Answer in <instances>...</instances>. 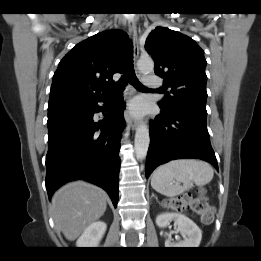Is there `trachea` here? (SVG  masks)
Here are the masks:
<instances>
[{
    "label": "trachea",
    "mask_w": 261,
    "mask_h": 261,
    "mask_svg": "<svg viewBox=\"0 0 261 261\" xmlns=\"http://www.w3.org/2000/svg\"><path fill=\"white\" fill-rule=\"evenodd\" d=\"M124 70H125L124 74L116 82L113 88L115 95L120 94L128 83H130L132 86H134L136 89L139 90L148 89L139 82V80L135 75L134 68H133L132 45H129L128 56L124 64Z\"/></svg>",
    "instance_id": "obj_1"
}]
</instances>
